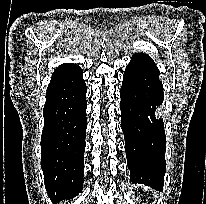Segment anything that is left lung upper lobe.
Returning <instances> with one entry per match:
<instances>
[{
    "label": "left lung upper lobe",
    "instance_id": "1",
    "mask_svg": "<svg viewBox=\"0 0 206 204\" xmlns=\"http://www.w3.org/2000/svg\"><path fill=\"white\" fill-rule=\"evenodd\" d=\"M139 59H144V60H147V59H150V57L146 54H135L132 56L131 60L134 61V60H139Z\"/></svg>",
    "mask_w": 206,
    "mask_h": 204
}]
</instances>
